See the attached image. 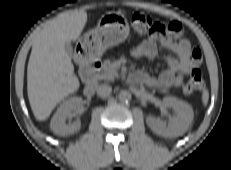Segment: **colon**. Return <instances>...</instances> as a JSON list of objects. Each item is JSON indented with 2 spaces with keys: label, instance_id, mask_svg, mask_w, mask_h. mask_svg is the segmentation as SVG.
I'll use <instances>...</instances> for the list:
<instances>
[{
  "label": "colon",
  "instance_id": "1",
  "mask_svg": "<svg viewBox=\"0 0 231 170\" xmlns=\"http://www.w3.org/2000/svg\"><path fill=\"white\" fill-rule=\"evenodd\" d=\"M133 29L142 35H148L150 38H162L166 35V25L154 21L149 15L136 13L131 19ZM205 87V81L200 70L193 69L190 77L183 87L186 94H194Z\"/></svg>",
  "mask_w": 231,
  "mask_h": 170
}]
</instances>
